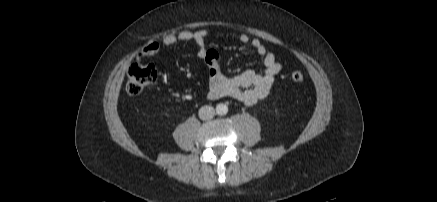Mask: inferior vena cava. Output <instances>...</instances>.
<instances>
[{
  "mask_svg": "<svg viewBox=\"0 0 437 202\" xmlns=\"http://www.w3.org/2000/svg\"><path fill=\"white\" fill-rule=\"evenodd\" d=\"M215 110L211 106H203L199 109V118L201 120H210L214 117Z\"/></svg>",
  "mask_w": 437,
  "mask_h": 202,
  "instance_id": "602c4592",
  "label": "inferior vena cava"
}]
</instances>
